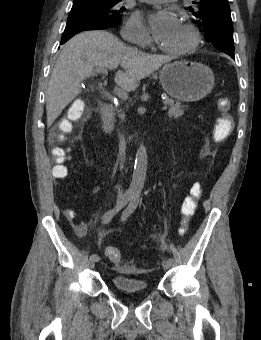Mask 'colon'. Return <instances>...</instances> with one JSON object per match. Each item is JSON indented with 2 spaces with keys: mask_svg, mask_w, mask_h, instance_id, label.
<instances>
[{
  "mask_svg": "<svg viewBox=\"0 0 261 340\" xmlns=\"http://www.w3.org/2000/svg\"><path fill=\"white\" fill-rule=\"evenodd\" d=\"M217 109L221 113V116L216 121L214 127V139L221 142L228 138L234 129V121L230 115L231 101L227 97H220L216 103ZM83 113V104L79 101L73 103L69 109L68 119L60 123L59 129L61 134L58 136L60 141L64 140V134L72 130L71 121L78 120ZM52 154L55 159V166L53 167V175L57 179H64L68 176V168L65 163L69 160V150L57 143L52 148ZM203 187L199 183H195L186 196L181 205L182 225L180 228V234L184 235L188 229V225L191 217L193 216L198 200L202 196ZM108 259L116 266L121 267V252L115 247H108L106 250Z\"/></svg>",
  "mask_w": 261,
  "mask_h": 340,
  "instance_id": "colon-1",
  "label": "colon"
}]
</instances>
